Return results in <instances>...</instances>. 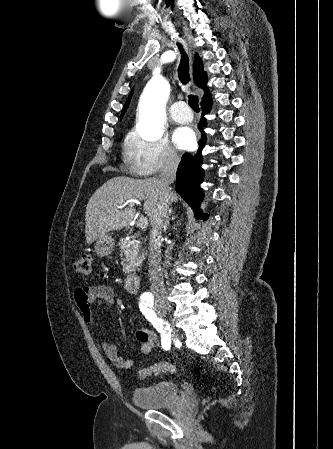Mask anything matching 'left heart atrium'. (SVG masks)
<instances>
[{
  "label": "left heart atrium",
  "mask_w": 333,
  "mask_h": 449,
  "mask_svg": "<svg viewBox=\"0 0 333 449\" xmlns=\"http://www.w3.org/2000/svg\"><path fill=\"white\" fill-rule=\"evenodd\" d=\"M175 145L180 149H188L195 142V135L189 128H180L173 135Z\"/></svg>",
  "instance_id": "left-heart-atrium-1"
}]
</instances>
